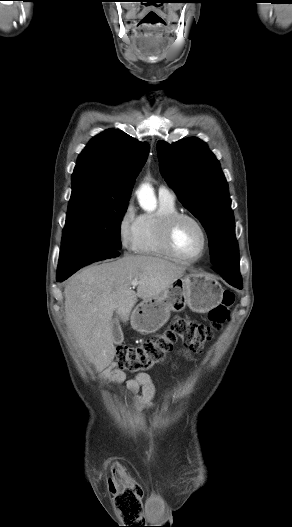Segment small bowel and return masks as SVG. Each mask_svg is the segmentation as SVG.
<instances>
[{
  "mask_svg": "<svg viewBox=\"0 0 292 527\" xmlns=\"http://www.w3.org/2000/svg\"><path fill=\"white\" fill-rule=\"evenodd\" d=\"M105 375L115 384L126 383L128 391L134 394L133 403L136 408L143 409L152 406L155 387L148 374L138 373L134 377L127 379L126 374L122 370L111 365L106 370ZM139 389H141V393L137 394Z\"/></svg>",
  "mask_w": 292,
  "mask_h": 527,
  "instance_id": "small-bowel-1",
  "label": "small bowel"
}]
</instances>
